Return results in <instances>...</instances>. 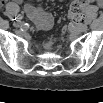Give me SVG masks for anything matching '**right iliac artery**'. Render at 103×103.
<instances>
[{
	"label": "right iliac artery",
	"instance_id": "obj_1",
	"mask_svg": "<svg viewBox=\"0 0 103 103\" xmlns=\"http://www.w3.org/2000/svg\"><path fill=\"white\" fill-rule=\"evenodd\" d=\"M23 18V16L21 15V14H18L17 16H16V18H15V20H21Z\"/></svg>",
	"mask_w": 103,
	"mask_h": 103
}]
</instances>
